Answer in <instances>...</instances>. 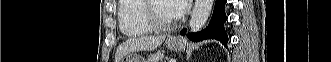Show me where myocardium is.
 I'll return each instance as SVG.
<instances>
[{
  "label": "myocardium",
  "mask_w": 331,
  "mask_h": 62,
  "mask_svg": "<svg viewBox=\"0 0 331 62\" xmlns=\"http://www.w3.org/2000/svg\"><path fill=\"white\" fill-rule=\"evenodd\" d=\"M155 0H145L143 4V19L153 30H168L177 24V19L172 21L161 20L154 11Z\"/></svg>",
  "instance_id": "obj_1"
}]
</instances>
